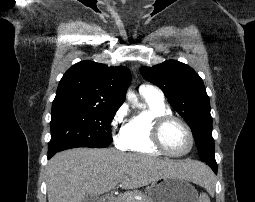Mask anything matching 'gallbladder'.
<instances>
[{
	"instance_id": "gallbladder-1",
	"label": "gallbladder",
	"mask_w": 255,
	"mask_h": 202,
	"mask_svg": "<svg viewBox=\"0 0 255 202\" xmlns=\"http://www.w3.org/2000/svg\"><path fill=\"white\" fill-rule=\"evenodd\" d=\"M81 202H98V196L93 194H85Z\"/></svg>"
}]
</instances>
